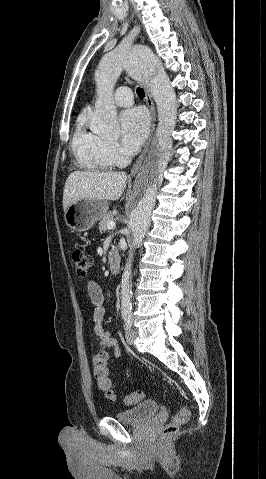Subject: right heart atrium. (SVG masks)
<instances>
[{"label":"right heart atrium","mask_w":266,"mask_h":479,"mask_svg":"<svg viewBox=\"0 0 266 479\" xmlns=\"http://www.w3.org/2000/svg\"><path fill=\"white\" fill-rule=\"evenodd\" d=\"M103 149L108 158L116 166L124 165L128 161V154L116 141L104 140Z\"/></svg>","instance_id":"d8ad5b80"}]
</instances>
